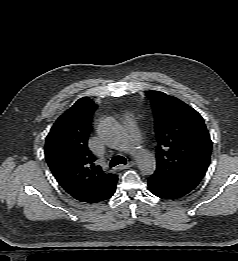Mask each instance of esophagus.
<instances>
[{"label":"esophagus","instance_id":"obj_1","mask_svg":"<svg viewBox=\"0 0 238 261\" xmlns=\"http://www.w3.org/2000/svg\"><path fill=\"white\" fill-rule=\"evenodd\" d=\"M135 165V163L133 162V161H130L128 164H126V165H119L118 166V169L119 170H124V169H128V168H130V167H132V166H134Z\"/></svg>","mask_w":238,"mask_h":261}]
</instances>
